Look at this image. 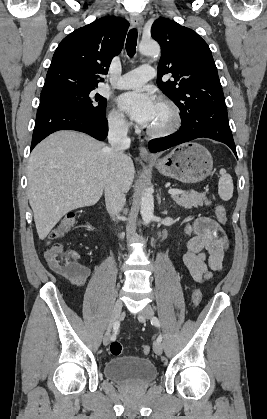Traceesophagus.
Wrapping results in <instances>:
<instances>
[{
	"label": "esophagus",
	"instance_id": "obj_1",
	"mask_svg": "<svg viewBox=\"0 0 267 419\" xmlns=\"http://www.w3.org/2000/svg\"><path fill=\"white\" fill-rule=\"evenodd\" d=\"M131 25L141 31L143 25V17L141 15H133L130 19ZM139 155L143 159H154V156L149 153L147 148L140 144L139 146Z\"/></svg>",
	"mask_w": 267,
	"mask_h": 419
}]
</instances>
